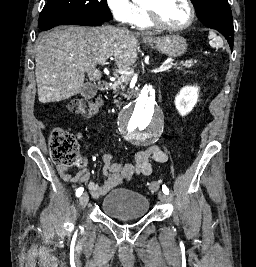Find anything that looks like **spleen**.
<instances>
[{
	"label": "spleen",
	"mask_w": 256,
	"mask_h": 267,
	"mask_svg": "<svg viewBox=\"0 0 256 267\" xmlns=\"http://www.w3.org/2000/svg\"><path fill=\"white\" fill-rule=\"evenodd\" d=\"M208 38L210 40L209 44L212 48H222L223 40L220 36H216L215 32H209Z\"/></svg>",
	"instance_id": "obj_1"
}]
</instances>
